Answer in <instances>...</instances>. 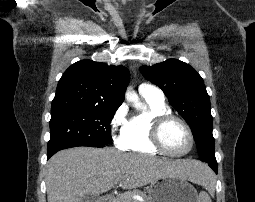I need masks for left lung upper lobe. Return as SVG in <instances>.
Listing matches in <instances>:
<instances>
[{
    "label": "left lung upper lobe",
    "instance_id": "left-lung-upper-lobe-1",
    "mask_svg": "<svg viewBox=\"0 0 255 202\" xmlns=\"http://www.w3.org/2000/svg\"><path fill=\"white\" fill-rule=\"evenodd\" d=\"M140 71L163 90L169 103L189 124L200 159L216 161L210 98L201 76L190 65L177 59L142 66Z\"/></svg>",
    "mask_w": 255,
    "mask_h": 202
}]
</instances>
